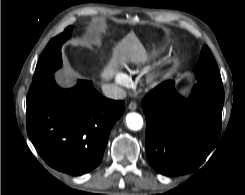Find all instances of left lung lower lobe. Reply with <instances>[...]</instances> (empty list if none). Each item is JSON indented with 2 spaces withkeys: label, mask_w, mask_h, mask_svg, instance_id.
Instances as JSON below:
<instances>
[{
  "label": "left lung lower lobe",
  "mask_w": 245,
  "mask_h": 195,
  "mask_svg": "<svg viewBox=\"0 0 245 195\" xmlns=\"http://www.w3.org/2000/svg\"><path fill=\"white\" fill-rule=\"evenodd\" d=\"M195 97L186 100L166 81L142 100L146 116V156L166 176L198 168L216 146L221 133L224 90L197 83Z\"/></svg>",
  "instance_id": "0a47b994"
}]
</instances>
